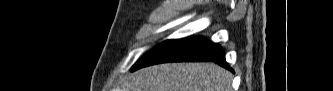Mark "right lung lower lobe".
Instances as JSON below:
<instances>
[{
  "label": "right lung lower lobe",
  "mask_w": 333,
  "mask_h": 91,
  "mask_svg": "<svg viewBox=\"0 0 333 91\" xmlns=\"http://www.w3.org/2000/svg\"><path fill=\"white\" fill-rule=\"evenodd\" d=\"M215 62L231 70L219 45L192 36L180 40H167L139 59L131 71L166 62Z\"/></svg>",
  "instance_id": "obj_1"
}]
</instances>
